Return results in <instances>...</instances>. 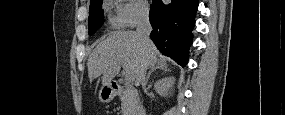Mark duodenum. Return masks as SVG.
Here are the masks:
<instances>
[{
    "label": "duodenum",
    "mask_w": 285,
    "mask_h": 115,
    "mask_svg": "<svg viewBox=\"0 0 285 115\" xmlns=\"http://www.w3.org/2000/svg\"><path fill=\"white\" fill-rule=\"evenodd\" d=\"M110 89L114 90V91H117V90H120L121 89V85L117 82H113L110 84ZM136 114H143L141 112H137Z\"/></svg>",
    "instance_id": "duodenum-1"
}]
</instances>
